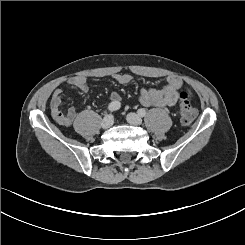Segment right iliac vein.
Returning <instances> with one entry per match:
<instances>
[{
  "instance_id": "63e3f726",
  "label": "right iliac vein",
  "mask_w": 245,
  "mask_h": 245,
  "mask_svg": "<svg viewBox=\"0 0 245 245\" xmlns=\"http://www.w3.org/2000/svg\"><path fill=\"white\" fill-rule=\"evenodd\" d=\"M114 119L112 115H107L101 122L103 129H108L113 125Z\"/></svg>"
}]
</instances>
